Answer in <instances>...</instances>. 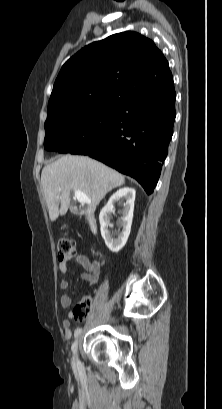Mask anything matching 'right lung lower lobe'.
Segmentation results:
<instances>
[{"label": "right lung lower lobe", "instance_id": "right-lung-lower-lobe-1", "mask_svg": "<svg viewBox=\"0 0 222 409\" xmlns=\"http://www.w3.org/2000/svg\"><path fill=\"white\" fill-rule=\"evenodd\" d=\"M163 78L170 85L166 92L120 103L104 143L86 154L135 178L148 195L159 179L176 117L172 74Z\"/></svg>", "mask_w": 222, "mask_h": 409}]
</instances>
